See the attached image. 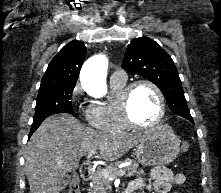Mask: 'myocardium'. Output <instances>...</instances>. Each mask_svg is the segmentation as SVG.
<instances>
[{"label":"myocardium","instance_id":"obj_1","mask_svg":"<svg viewBox=\"0 0 221 193\" xmlns=\"http://www.w3.org/2000/svg\"><path fill=\"white\" fill-rule=\"evenodd\" d=\"M140 85H146L150 87L151 89H153V91L156 93L157 98L159 100L158 116L152 123H149V124H141L135 121L130 110V101H131L132 93L134 89ZM118 105H119L120 113L122 115L124 122L129 127L135 128V129L147 130V129H153L157 127L163 121L165 113H166V102H165V97H164L162 90L159 88L158 85H156L154 82L148 79H138L125 85V87L123 88L118 98Z\"/></svg>","mask_w":221,"mask_h":193}]
</instances>
